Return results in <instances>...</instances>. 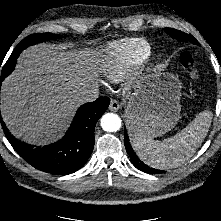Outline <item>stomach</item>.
<instances>
[{
  "label": "stomach",
  "mask_w": 221,
  "mask_h": 221,
  "mask_svg": "<svg viewBox=\"0 0 221 221\" xmlns=\"http://www.w3.org/2000/svg\"><path fill=\"white\" fill-rule=\"evenodd\" d=\"M181 115L180 83L155 67L134 85L126 108V125L135 138L154 139L172 130Z\"/></svg>",
  "instance_id": "0dacf381"
}]
</instances>
